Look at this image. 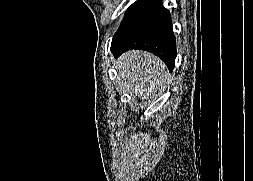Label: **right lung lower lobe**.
I'll list each match as a JSON object with an SVG mask.
<instances>
[{"label":"right lung lower lobe","instance_id":"right-lung-lower-lobe-1","mask_svg":"<svg viewBox=\"0 0 253 181\" xmlns=\"http://www.w3.org/2000/svg\"><path fill=\"white\" fill-rule=\"evenodd\" d=\"M131 49L157 55L172 72L176 42L170 13L163 7L162 0H138L126 11L113 36L111 51L117 57Z\"/></svg>","mask_w":253,"mask_h":181}]
</instances>
